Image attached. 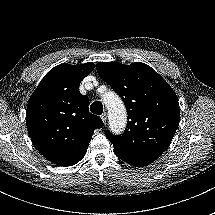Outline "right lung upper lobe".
I'll list each match as a JSON object with an SVG mask.
<instances>
[{"mask_svg": "<svg viewBox=\"0 0 215 215\" xmlns=\"http://www.w3.org/2000/svg\"><path fill=\"white\" fill-rule=\"evenodd\" d=\"M93 63L61 64L51 69L29 99L27 130L35 148L59 166L78 163L86 154L93 132L102 120L88 111L89 100L80 82Z\"/></svg>", "mask_w": 215, "mask_h": 215, "instance_id": "obj_1", "label": "right lung upper lobe"}]
</instances>
